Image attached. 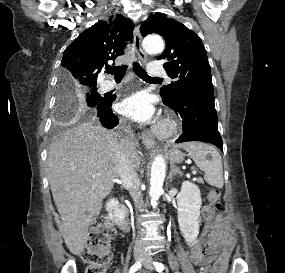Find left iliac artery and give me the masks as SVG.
Segmentation results:
<instances>
[{"label": "left iliac artery", "instance_id": "obj_1", "mask_svg": "<svg viewBox=\"0 0 285 273\" xmlns=\"http://www.w3.org/2000/svg\"><path fill=\"white\" fill-rule=\"evenodd\" d=\"M153 264L157 272H162L165 269V266L162 263L154 262Z\"/></svg>", "mask_w": 285, "mask_h": 273}]
</instances>
